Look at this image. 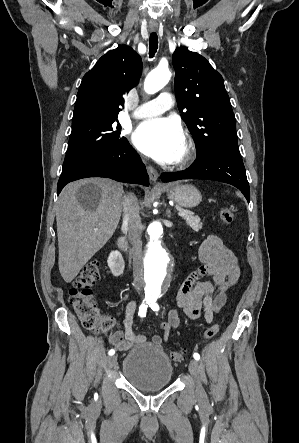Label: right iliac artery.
<instances>
[{
    "instance_id": "obj_1",
    "label": "right iliac artery",
    "mask_w": 299,
    "mask_h": 443,
    "mask_svg": "<svg viewBox=\"0 0 299 443\" xmlns=\"http://www.w3.org/2000/svg\"><path fill=\"white\" fill-rule=\"evenodd\" d=\"M148 305H149V300H145V301H143V303L140 305V307H139V312H138V315H139L140 317H145V316H146V312H147V307H148ZM108 354H109L110 356L114 355V354H115V350H114V349H110L109 352H108Z\"/></svg>"
}]
</instances>
